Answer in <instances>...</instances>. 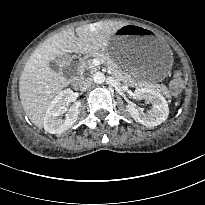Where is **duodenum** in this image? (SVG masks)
Instances as JSON below:
<instances>
[{
    "instance_id": "duodenum-1",
    "label": "duodenum",
    "mask_w": 205,
    "mask_h": 205,
    "mask_svg": "<svg viewBox=\"0 0 205 205\" xmlns=\"http://www.w3.org/2000/svg\"><path fill=\"white\" fill-rule=\"evenodd\" d=\"M74 64L77 65L76 61H74ZM79 81H80V75H79L78 70H77L76 84H78Z\"/></svg>"
}]
</instances>
